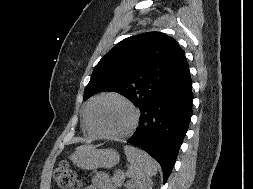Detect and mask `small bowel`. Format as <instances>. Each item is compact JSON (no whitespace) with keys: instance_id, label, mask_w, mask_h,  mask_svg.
I'll return each mask as SVG.
<instances>
[{"instance_id":"c3829d8e","label":"small bowel","mask_w":253,"mask_h":189,"mask_svg":"<svg viewBox=\"0 0 253 189\" xmlns=\"http://www.w3.org/2000/svg\"><path fill=\"white\" fill-rule=\"evenodd\" d=\"M88 189H114V187L110 182L108 174L98 172L92 177L91 185Z\"/></svg>"}]
</instances>
